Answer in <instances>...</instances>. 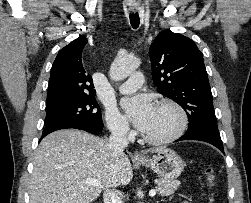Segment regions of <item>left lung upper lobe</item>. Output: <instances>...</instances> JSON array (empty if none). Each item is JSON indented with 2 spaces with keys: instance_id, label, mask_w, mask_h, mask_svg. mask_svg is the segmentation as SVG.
Wrapping results in <instances>:
<instances>
[{
  "instance_id": "5c2ea615",
  "label": "left lung upper lobe",
  "mask_w": 251,
  "mask_h": 203,
  "mask_svg": "<svg viewBox=\"0 0 251 203\" xmlns=\"http://www.w3.org/2000/svg\"><path fill=\"white\" fill-rule=\"evenodd\" d=\"M149 55L154 85L185 110L187 132H219L203 54L196 44L182 34L164 30L151 44Z\"/></svg>"
}]
</instances>
